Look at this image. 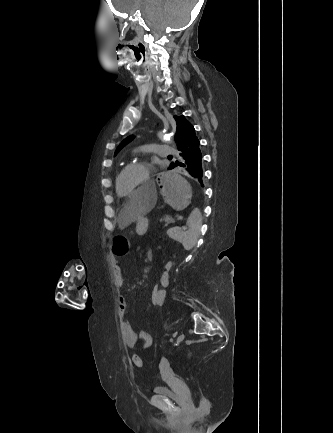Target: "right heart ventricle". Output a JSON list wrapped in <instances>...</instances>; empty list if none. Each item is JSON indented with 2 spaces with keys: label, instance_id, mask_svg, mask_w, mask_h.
Here are the masks:
<instances>
[{
  "label": "right heart ventricle",
  "instance_id": "right-heart-ventricle-1",
  "mask_svg": "<svg viewBox=\"0 0 333 433\" xmlns=\"http://www.w3.org/2000/svg\"><path fill=\"white\" fill-rule=\"evenodd\" d=\"M117 194H118L120 197H124V196H125V194H122L121 192H117Z\"/></svg>",
  "mask_w": 333,
  "mask_h": 433
}]
</instances>
